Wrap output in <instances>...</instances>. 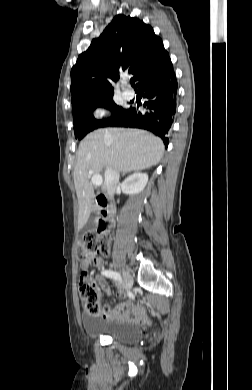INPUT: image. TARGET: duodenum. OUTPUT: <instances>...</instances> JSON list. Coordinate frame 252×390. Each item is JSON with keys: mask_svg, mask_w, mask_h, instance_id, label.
<instances>
[{"mask_svg": "<svg viewBox=\"0 0 252 390\" xmlns=\"http://www.w3.org/2000/svg\"><path fill=\"white\" fill-rule=\"evenodd\" d=\"M95 203L101 209V219L97 224L98 232H108L114 224L113 209L106 195L100 193L95 196Z\"/></svg>", "mask_w": 252, "mask_h": 390, "instance_id": "duodenum-1", "label": "duodenum"}]
</instances>
